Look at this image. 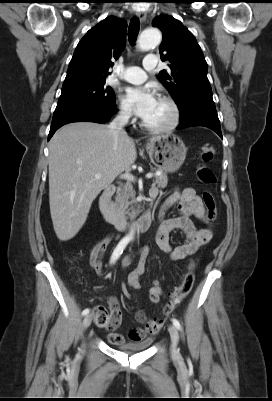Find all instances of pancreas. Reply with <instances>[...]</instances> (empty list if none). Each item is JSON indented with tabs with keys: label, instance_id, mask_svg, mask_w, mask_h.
<instances>
[{
	"label": "pancreas",
	"instance_id": "1",
	"mask_svg": "<svg viewBox=\"0 0 272 401\" xmlns=\"http://www.w3.org/2000/svg\"><path fill=\"white\" fill-rule=\"evenodd\" d=\"M154 184L159 187V188H165L168 183V178L166 173H162L160 175H155L154 176ZM134 204H137L136 201V192L133 189V185L131 183H126L123 185L121 188L117 190L116 196H115V208L116 211L122 215H128L131 218H134L137 213H139V210H133L132 206ZM131 206V208H130ZM130 210H132L130 212Z\"/></svg>",
	"mask_w": 272,
	"mask_h": 401
}]
</instances>
